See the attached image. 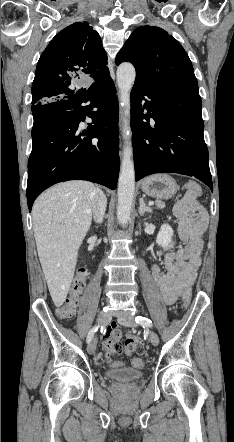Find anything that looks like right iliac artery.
<instances>
[{"instance_id": "1", "label": "right iliac artery", "mask_w": 234, "mask_h": 442, "mask_svg": "<svg viewBox=\"0 0 234 442\" xmlns=\"http://www.w3.org/2000/svg\"><path fill=\"white\" fill-rule=\"evenodd\" d=\"M97 330H98V326H94V327L89 331L88 336H87V343H89V342L92 340V338H93V336H94V333H95Z\"/></svg>"}]
</instances>
